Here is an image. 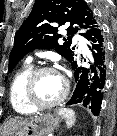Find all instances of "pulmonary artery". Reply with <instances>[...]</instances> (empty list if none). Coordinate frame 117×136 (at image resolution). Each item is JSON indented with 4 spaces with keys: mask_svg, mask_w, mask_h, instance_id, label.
Masks as SVG:
<instances>
[{
    "mask_svg": "<svg viewBox=\"0 0 117 136\" xmlns=\"http://www.w3.org/2000/svg\"><path fill=\"white\" fill-rule=\"evenodd\" d=\"M75 41L79 44V46L81 48H83V49L85 48V44H84L83 40L80 37L76 36Z\"/></svg>",
    "mask_w": 117,
    "mask_h": 136,
    "instance_id": "pulmonary-artery-1",
    "label": "pulmonary artery"
}]
</instances>
